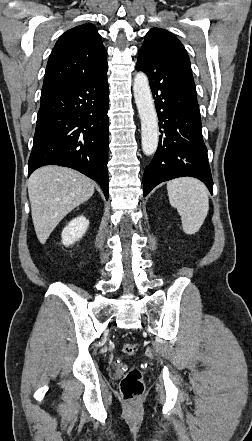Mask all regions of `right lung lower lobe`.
I'll use <instances>...</instances> for the list:
<instances>
[{"label": "right lung lower lobe", "instance_id": "obj_1", "mask_svg": "<svg viewBox=\"0 0 252 441\" xmlns=\"http://www.w3.org/2000/svg\"><path fill=\"white\" fill-rule=\"evenodd\" d=\"M107 75L41 94L28 176L45 165L73 168L98 182L108 199Z\"/></svg>", "mask_w": 252, "mask_h": 441}]
</instances>
